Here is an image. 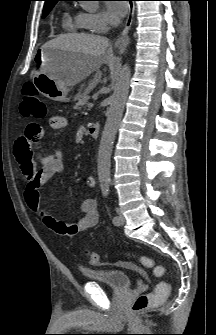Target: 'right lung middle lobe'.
Listing matches in <instances>:
<instances>
[{
  "label": "right lung middle lobe",
  "mask_w": 216,
  "mask_h": 335,
  "mask_svg": "<svg viewBox=\"0 0 216 335\" xmlns=\"http://www.w3.org/2000/svg\"><path fill=\"white\" fill-rule=\"evenodd\" d=\"M54 5L55 4L44 6V9H43V18L48 15V13L51 11V9L53 8Z\"/></svg>",
  "instance_id": "right-lung-middle-lobe-1"
}]
</instances>
